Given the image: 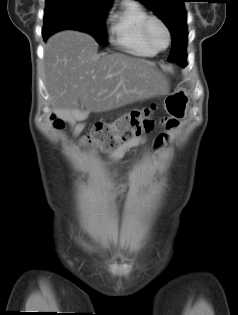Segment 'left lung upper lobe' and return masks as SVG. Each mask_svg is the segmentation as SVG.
I'll return each instance as SVG.
<instances>
[{"label": "left lung upper lobe", "mask_w": 238, "mask_h": 315, "mask_svg": "<svg viewBox=\"0 0 238 315\" xmlns=\"http://www.w3.org/2000/svg\"><path fill=\"white\" fill-rule=\"evenodd\" d=\"M148 6L168 27L171 36L183 34L187 37L186 11L183 0H135ZM169 60L177 62L169 56Z\"/></svg>", "instance_id": "left-lung-upper-lobe-1"}]
</instances>
